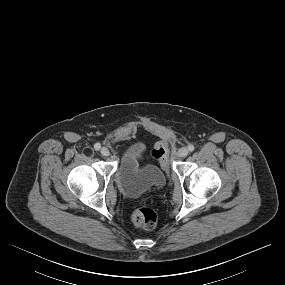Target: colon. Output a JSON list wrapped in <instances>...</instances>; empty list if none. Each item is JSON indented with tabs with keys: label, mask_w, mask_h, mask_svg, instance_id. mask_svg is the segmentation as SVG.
<instances>
[{
	"label": "colon",
	"mask_w": 285,
	"mask_h": 285,
	"mask_svg": "<svg viewBox=\"0 0 285 285\" xmlns=\"http://www.w3.org/2000/svg\"><path fill=\"white\" fill-rule=\"evenodd\" d=\"M168 147L166 143H160L154 148L152 154L154 158L159 160L161 165L168 169ZM157 216L155 211L147 204L137 207L132 213V222L135 226L144 230L152 229L156 225Z\"/></svg>",
	"instance_id": "1"
}]
</instances>
